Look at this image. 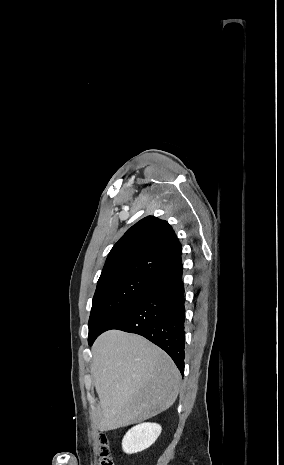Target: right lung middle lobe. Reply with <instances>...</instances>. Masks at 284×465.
Listing matches in <instances>:
<instances>
[{"label": "right lung middle lobe", "instance_id": "dd1d6c3e", "mask_svg": "<svg viewBox=\"0 0 284 465\" xmlns=\"http://www.w3.org/2000/svg\"><path fill=\"white\" fill-rule=\"evenodd\" d=\"M153 280L138 275H123L98 281L88 322V342L97 337L105 325Z\"/></svg>", "mask_w": 284, "mask_h": 465}]
</instances>
